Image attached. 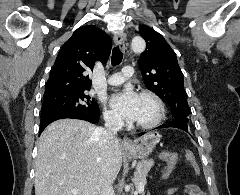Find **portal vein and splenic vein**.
<instances>
[{
    "instance_id": "obj_1",
    "label": "portal vein and splenic vein",
    "mask_w": 240,
    "mask_h": 195,
    "mask_svg": "<svg viewBox=\"0 0 240 195\" xmlns=\"http://www.w3.org/2000/svg\"><path fill=\"white\" fill-rule=\"evenodd\" d=\"M144 186H145L144 182H139L137 186L142 193L146 191V188ZM72 191L76 193L77 189H72ZM138 194L140 195L141 193L139 192Z\"/></svg>"
}]
</instances>
